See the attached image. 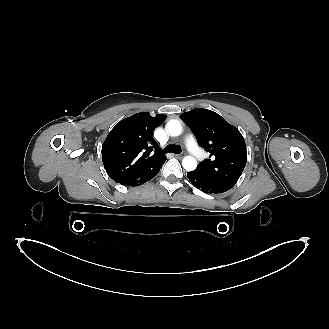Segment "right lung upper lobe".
I'll return each mask as SVG.
<instances>
[{
  "instance_id": "obj_1",
  "label": "right lung upper lobe",
  "mask_w": 329,
  "mask_h": 329,
  "mask_svg": "<svg viewBox=\"0 0 329 329\" xmlns=\"http://www.w3.org/2000/svg\"><path fill=\"white\" fill-rule=\"evenodd\" d=\"M166 115L152 117L140 112L120 121L102 145V161L107 174L121 185H132L164 163L153 131Z\"/></svg>"
}]
</instances>
